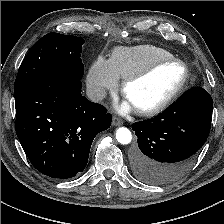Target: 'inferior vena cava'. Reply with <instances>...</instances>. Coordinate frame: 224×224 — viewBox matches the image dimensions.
Wrapping results in <instances>:
<instances>
[{"label":"inferior vena cava","mask_w":224,"mask_h":224,"mask_svg":"<svg viewBox=\"0 0 224 224\" xmlns=\"http://www.w3.org/2000/svg\"><path fill=\"white\" fill-rule=\"evenodd\" d=\"M86 95L89 100L93 102H99L105 98L106 91L102 87L92 86L87 88Z\"/></svg>","instance_id":"602c4592"}]
</instances>
